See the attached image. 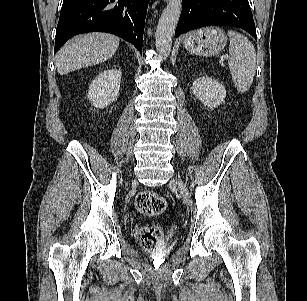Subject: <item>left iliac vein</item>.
<instances>
[{"mask_svg": "<svg viewBox=\"0 0 307 301\" xmlns=\"http://www.w3.org/2000/svg\"><path fill=\"white\" fill-rule=\"evenodd\" d=\"M170 184L178 187V190H179L180 194L182 195L185 203L191 204L190 193H189L187 187L185 186V184L182 182V180L180 178L172 179L170 181Z\"/></svg>", "mask_w": 307, "mask_h": 301, "instance_id": "obj_1", "label": "left iliac vein"}]
</instances>
